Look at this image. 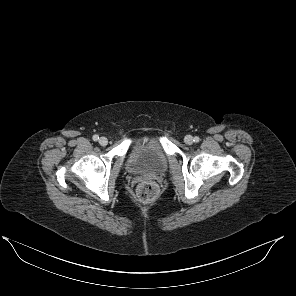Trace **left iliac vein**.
Returning <instances> with one entry per match:
<instances>
[{"label": "left iliac vein", "instance_id": "4c4485c4", "mask_svg": "<svg viewBox=\"0 0 296 296\" xmlns=\"http://www.w3.org/2000/svg\"><path fill=\"white\" fill-rule=\"evenodd\" d=\"M184 141L186 144L191 145L193 143V137L191 135H186Z\"/></svg>", "mask_w": 296, "mask_h": 296}]
</instances>
